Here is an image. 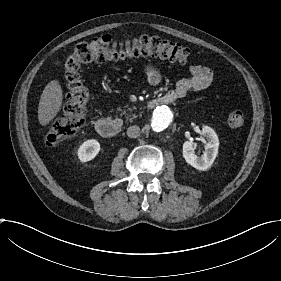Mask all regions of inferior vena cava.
<instances>
[{"label":"inferior vena cava","mask_w":281,"mask_h":281,"mask_svg":"<svg viewBox=\"0 0 281 281\" xmlns=\"http://www.w3.org/2000/svg\"><path fill=\"white\" fill-rule=\"evenodd\" d=\"M140 128L136 125L130 126L127 129V136L130 138H136L139 136Z\"/></svg>","instance_id":"602c4592"}]
</instances>
